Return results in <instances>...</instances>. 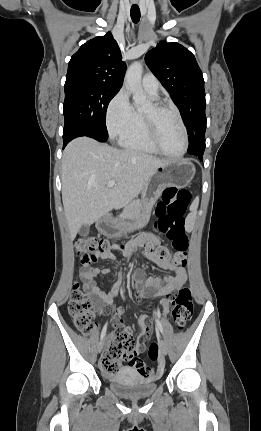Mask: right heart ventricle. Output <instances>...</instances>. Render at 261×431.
Returning <instances> with one entry per match:
<instances>
[{
    "label": "right heart ventricle",
    "instance_id": "1",
    "mask_svg": "<svg viewBox=\"0 0 261 431\" xmlns=\"http://www.w3.org/2000/svg\"><path fill=\"white\" fill-rule=\"evenodd\" d=\"M119 143L128 150L148 154H159L148 137L143 116L140 111H135L134 121L131 127L120 136Z\"/></svg>",
    "mask_w": 261,
    "mask_h": 431
}]
</instances>
